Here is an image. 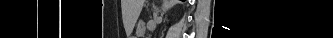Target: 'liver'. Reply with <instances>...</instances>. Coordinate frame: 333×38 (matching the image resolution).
I'll return each instance as SVG.
<instances>
[{"instance_id":"liver-1","label":"liver","mask_w":333,"mask_h":38,"mask_svg":"<svg viewBox=\"0 0 333 38\" xmlns=\"http://www.w3.org/2000/svg\"><path fill=\"white\" fill-rule=\"evenodd\" d=\"M144 0H134L133 6V20H136L142 10Z\"/></svg>"}]
</instances>
